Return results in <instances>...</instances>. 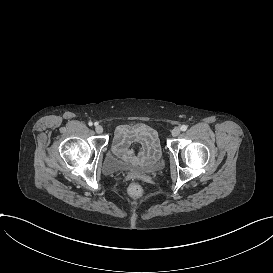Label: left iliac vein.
<instances>
[{"mask_svg":"<svg viewBox=\"0 0 273 273\" xmlns=\"http://www.w3.org/2000/svg\"><path fill=\"white\" fill-rule=\"evenodd\" d=\"M180 134V128L179 127H175L172 130V136L177 137Z\"/></svg>","mask_w":273,"mask_h":273,"instance_id":"left-iliac-vein-1","label":"left iliac vein"}]
</instances>
